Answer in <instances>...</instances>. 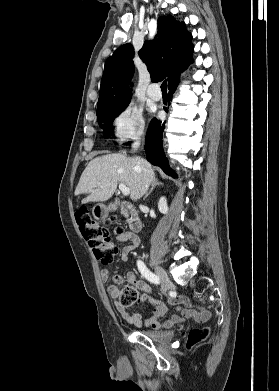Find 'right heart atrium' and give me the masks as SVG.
Segmentation results:
<instances>
[{
  "label": "right heart atrium",
  "mask_w": 279,
  "mask_h": 391,
  "mask_svg": "<svg viewBox=\"0 0 279 391\" xmlns=\"http://www.w3.org/2000/svg\"><path fill=\"white\" fill-rule=\"evenodd\" d=\"M143 130L142 111L134 105L124 107L113 119V133L120 142L140 136Z\"/></svg>",
  "instance_id": "right-heart-atrium-1"
}]
</instances>
